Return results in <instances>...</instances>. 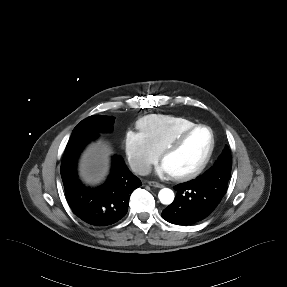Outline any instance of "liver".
Masks as SVG:
<instances>
[{"label": "liver", "mask_w": 287, "mask_h": 287, "mask_svg": "<svg viewBox=\"0 0 287 287\" xmlns=\"http://www.w3.org/2000/svg\"><path fill=\"white\" fill-rule=\"evenodd\" d=\"M111 147L104 141L91 144L83 153L80 162V175L87 183H99L109 168Z\"/></svg>", "instance_id": "obj_1"}]
</instances>
